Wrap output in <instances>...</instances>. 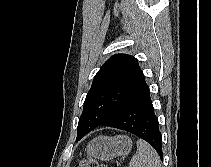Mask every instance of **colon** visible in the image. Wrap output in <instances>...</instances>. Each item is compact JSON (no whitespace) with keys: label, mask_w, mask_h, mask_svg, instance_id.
I'll return each instance as SVG.
<instances>
[{"label":"colon","mask_w":211,"mask_h":167,"mask_svg":"<svg viewBox=\"0 0 211 167\" xmlns=\"http://www.w3.org/2000/svg\"><path fill=\"white\" fill-rule=\"evenodd\" d=\"M75 167H109L107 164L98 162L94 158H87L80 161Z\"/></svg>","instance_id":"colon-1"}]
</instances>
